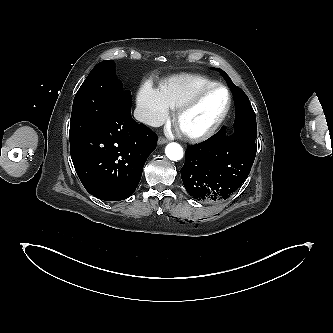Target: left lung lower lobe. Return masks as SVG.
<instances>
[{"label": "left lung lower lobe", "instance_id": "left-lung-lower-lobe-1", "mask_svg": "<svg viewBox=\"0 0 333 333\" xmlns=\"http://www.w3.org/2000/svg\"><path fill=\"white\" fill-rule=\"evenodd\" d=\"M254 141L247 131L237 128L227 136L223 127L206 141L188 146L181 169L187 192L206 203L226 200L251 170L257 150Z\"/></svg>", "mask_w": 333, "mask_h": 333}]
</instances>
